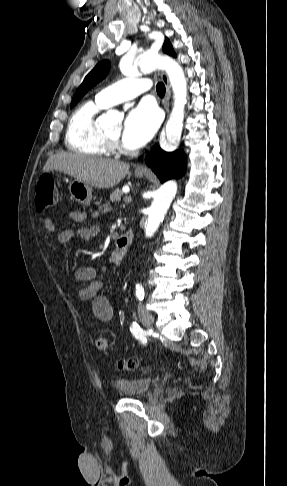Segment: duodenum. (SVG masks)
<instances>
[{"label": "duodenum", "mask_w": 287, "mask_h": 486, "mask_svg": "<svg viewBox=\"0 0 287 486\" xmlns=\"http://www.w3.org/2000/svg\"><path fill=\"white\" fill-rule=\"evenodd\" d=\"M133 240V232L131 229L122 234L116 241L115 253L119 256H124Z\"/></svg>", "instance_id": "410a0bca"}]
</instances>
